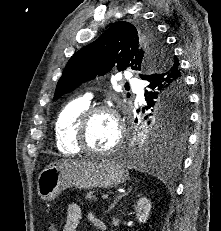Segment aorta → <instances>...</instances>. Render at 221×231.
<instances>
[{
  "label": "aorta",
  "instance_id": "762f6f07",
  "mask_svg": "<svg viewBox=\"0 0 221 231\" xmlns=\"http://www.w3.org/2000/svg\"><path fill=\"white\" fill-rule=\"evenodd\" d=\"M148 138H147V141H150L151 140V138H152V135H151V137L150 136H147ZM131 159L134 161V162H146V161H138V160H136V158H134V157H131Z\"/></svg>",
  "mask_w": 221,
  "mask_h": 231
}]
</instances>
